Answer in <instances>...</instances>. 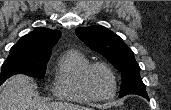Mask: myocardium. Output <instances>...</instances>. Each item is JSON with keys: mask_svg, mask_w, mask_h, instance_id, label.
<instances>
[{"mask_svg": "<svg viewBox=\"0 0 171 110\" xmlns=\"http://www.w3.org/2000/svg\"><path fill=\"white\" fill-rule=\"evenodd\" d=\"M95 68H103L105 69L111 79H112V83H113V90L112 93L109 96L106 97H100L97 96L96 94H94V92L92 91L90 84H89V76L91 74V72L95 69ZM81 82H82V87L84 89V91L86 92V94L95 101H109L111 99H113L116 95L117 92V78L116 75L113 71V69L106 63L104 62H95V63H90L83 71L82 76H81Z\"/></svg>", "mask_w": 171, "mask_h": 110, "instance_id": "myocardium-1", "label": "myocardium"}]
</instances>
